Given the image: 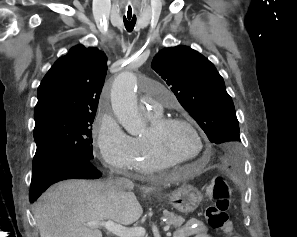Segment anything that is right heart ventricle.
<instances>
[{
	"mask_svg": "<svg viewBox=\"0 0 297 237\" xmlns=\"http://www.w3.org/2000/svg\"><path fill=\"white\" fill-rule=\"evenodd\" d=\"M149 120L152 122L156 119L157 115H147ZM133 142V164L132 169L143 174H149L161 170H166L171 168V166L164 165L160 163L149 150L144 136H138L132 138Z\"/></svg>",
	"mask_w": 297,
	"mask_h": 237,
	"instance_id": "obj_1",
	"label": "right heart ventricle"
}]
</instances>
